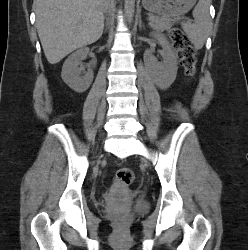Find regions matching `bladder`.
Masks as SVG:
<instances>
[{
    "label": "bladder",
    "instance_id": "31cf9c89",
    "mask_svg": "<svg viewBox=\"0 0 248 250\" xmlns=\"http://www.w3.org/2000/svg\"><path fill=\"white\" fill-rule=\"evenodd\" d=\"M128 207L134 211H144L147 205L146 201L141 197H130Z\"/></svg>",
    "mask_w": 248,
    "mask_h": 250
}]
</instances>
